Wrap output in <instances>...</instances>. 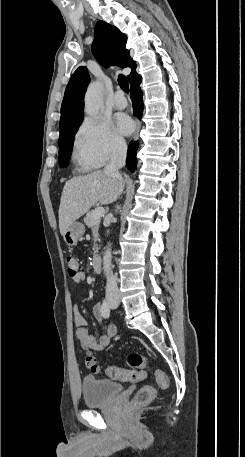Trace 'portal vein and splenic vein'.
I'll list each match as a JSON object with an SVG mask.
<instances>
[{"mask_svg":"<svg viewBox=\"0 0 245 457\" xmlns=\"http://www.w3.org/2000/svg\"><path fill=\"white\" fill-rule=\"evenodd\" d=\"M105 212L104 206H97V208H94L92 212L93 218H100V216H103Z\"/></svg>","mask_w":245,"mask_h":457,"instance_id":"portal-vein-and-splenic-vein-1","label":"portal vein and splenic vein"}]
</instances>
